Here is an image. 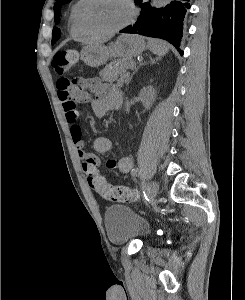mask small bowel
Here are the masks:
<instances>
[{
  "mask_svg": "<svg viewBox=\"0 0 245 300\" xmlns=\"http://www.w3.org/2000/svg\"><path fill=\"white\" fill-rule=\"evenodd\" d=\"M79 84V87H73L69 84L68 79L60 78L57 81V94L65 119L70 125V135L81 160L82 169L89 176L99 174L101 161L97 154L112 152L114 145L109 138L99 136L93 142L95 153L85 150L82 129L77 123L79 113L76 102L89 103L93 115L101 118L108 111L117 108V99L118 96H121V93L117 88L102 82L99 78L83 79L79 81ZM132 166V159L127 156L119 160L109 159L106 162L107 168L115 169L122 174L131 172Z\"/></svg>",
  "mask_w": 245,
  "mask_h": 300,
  "instance_id": "c3829d8e",
  "label": "small bowel"
}]
</instances>
